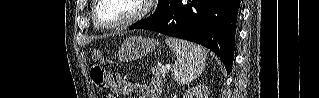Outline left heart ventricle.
I'll list each match as a JSON object with an SVG mask.
<instances>
[{"label": "left heart ventricle", "mask_w": 319, "mask_h": 98, "mask_svg": "<svg viewBox=\"0 0 319 98\" xmlns=\"http://www.w3.org/2000/svg\"><path fill=\"white\" fill-rule=\"evenodd\" d=\"M139 9L137 0H102L98 8L99 19L112 24L127 19Z\"/></svg>", "instance_id": "obj_1"}]
</instances>
